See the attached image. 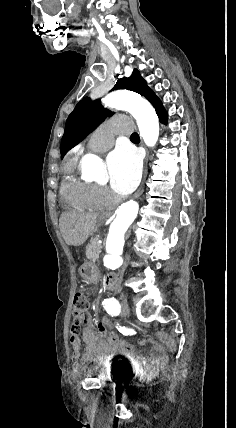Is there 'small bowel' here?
<instances>
[{"mask_svg":"<svg viewBox=\"0 0 236 428\" xmlns=\"http://www.w3.org/2000/svg\"><path fill=\"white\" fill-rule=\"evenodd\" d=\"M82 337L71 336L72 359L78 361L81 358V340L85 344V353L82 360L85 362H97L111 359L125 360L136 370H147L162 365L166 361L163 348L152 343L151 355L148 357L137 355L134 346L115 335H108L105 327L95 326L90 316H85ZM143 344V342H140Z\"/></svg>","mask_w":236,"mask_h":428,"instance_id":"small-bowel-1","label":"small bowel"}]
</instances>
